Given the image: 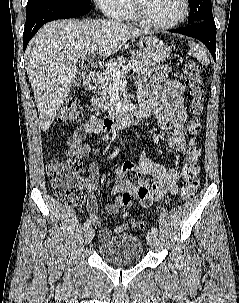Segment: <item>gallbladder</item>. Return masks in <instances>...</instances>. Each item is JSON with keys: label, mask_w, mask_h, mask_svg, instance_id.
I'll return each mask as SVG.
<instances>
[{"label": "gallbladder", "mask_w": 239, "mask_h": 303, "mask_svg": "<svg viewBox=\"0 0 239 303\" xmlns=\"http://www.w3.org/2000/svg\"><path fill=\"white\" fill-rule=\"evenodd\" d=\"M83 80H84V75L81 72L77 73V75L73 81V86L79 87L81 85V83L83 82Z\"/></svg>", "instance_id": "obj_1"}]
</instances>
